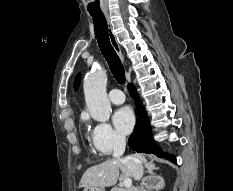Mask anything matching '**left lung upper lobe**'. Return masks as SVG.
<instances>
[{
	"label": "left lung upper lobe",
	"mask_w": 233,
	"mask_h": 191,
	"mask_svg": "<svg viewBox=\"0 0 233 191\" xmlns=\"http://www.w3.org/2000/svg\"><path fill=\"white\" fill-rule=\"evenodd\" d=\"M79 81H80V75H77V77L75 78V82H74V88H75V90L78 89Z\"/></svg>",
	"instance_id": "1"
}]
</instances>
